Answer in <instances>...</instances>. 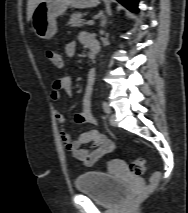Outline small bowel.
Masks as SVG:
<instances>
[{
  "label": "small bowel",
  "instance_id": "c3829d8e",
  "mask_svg": "<svg viewBox=\"0 0 188 213\" xmlns=\"http://www.w3.org/2000/svg\"><path fill=\"white\" fill-rule=\"evenodd\" d=\"M91 35L83 33L80 37L81 43L89 46V39ZM76 52V43L69 42L65 46V54L72 57ZM56 67L63 65V59L59 55V62L50 60ZM90 73L95 74L94 70L89 71V83L92 82ZM61 91L66 92L68 95L72 94L73 83L69 76L61 77L55 80L51 86L50 98L52 101L57 102L61 98ZM54 116L56 121L60 124V138L65 149L78 161L83 162L85 165H93L98 162L103 156L114 151L115 144L112 140L107 138L102 132L91 129L81 133L77 138L71 139L65 128V116L61 110H55ZM74 122L77 124L96 125L97 120L92 114L91 110V96L87 93L83 101V110L74 116Z\"/></svg>",
  "mask_w": 188,
  "mask_h": 213
}]
</instances>
